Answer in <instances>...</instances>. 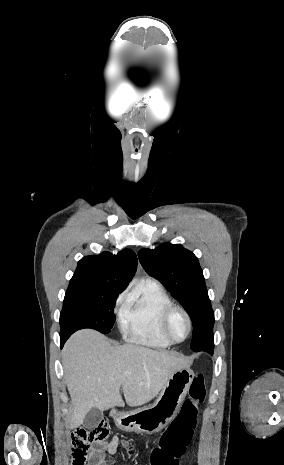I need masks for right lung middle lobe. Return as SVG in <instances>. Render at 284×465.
<instances>
[{
	"label": "right lung middle lobe",
	"mask_w": 284,
	"mask_h": 465,
	"mask_svg": "<svg viewBox=\"0 0 284 465\" xmlns=\"http://www.w3.org/2000/svg\"><path fill=\"white\" fill-rule=\"evenodd\" d=\"M119 293L96 283L70 281L60 313V336L83 328L108 334L115 322L113 310Z\"/></svg>",
	"instance_id": "right-lung-middle-lobe-1"
}]
</instances>
